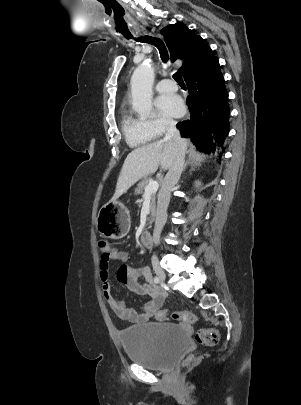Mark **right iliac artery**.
<instances>
[{"label":"right iliac artery","mask_w":301,"mask_h":405,"mask_svg":"<svg viewBox=\"0 0 301 405\" xmlns=\"http://www.w3.org/2000/svg\"><path fill=\"white\" fill-rule=\"evenodd\" d=\"M154 282H155L156 284H159V283H160V279H159L158 277H155V278H154Z\"/></svg>","instance_id":"82829eb1"}]
</instances>
